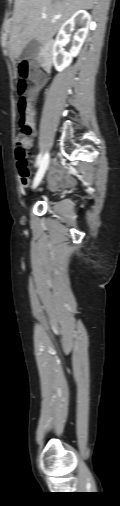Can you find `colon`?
Returning <instances> with one entry per match:
<instances>
[{
	"instance_id": "obj_1",
	"label": "colon",
	"mask_w": 120,
	"mask_h": 506,
	"mask_svg": "<svg viewBox=\"0 0 120 506\" xmlns=\"http://www.w3.org/2000/svg\"><path fill=\"white\" fill-rule=\"evenodd\" d=\"M20 64V79L18 83V88L20 93H23L26 86V78L31 74V70L29 69L26 62V57H21ZM18 110L19 117L18 123L20 127V132L16 137V157H17V168L19 170L21 177H27L29 175V151L32 147L33 143V120L28 107V103L25 97H20L18 101Z\"/></svg>"
}]
</instances>
